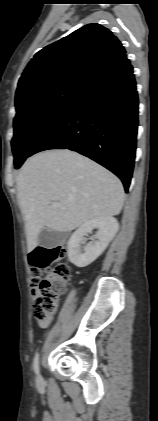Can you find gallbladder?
Wrapping results in <instances>:
<instances>
[{"mask_svg": "<svg viewBox=\"0 0 158 421\" xmlns=\"http://www.w3.org/2000/svg\"><path fill=\"white\" fill-rule=\"evenodd\" d=\"M67 233L61 231H50L44 227L38 235V243L46 249H52L62 244L66 239Z\"/></svg>", "mask_w": 158, "mask_h": 421, "instance_id": "obj_1", "label": "gallbladder"}]
</instances>
